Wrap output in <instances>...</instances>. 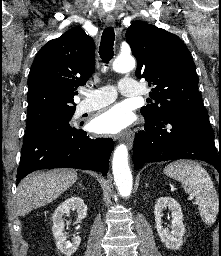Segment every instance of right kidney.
<instances>
[{"label": "right kidney", "instance_id": "1", "mask_svg": "<svg viewBox=\"0 0 221 256\" xmlns=\"http://www.w3.org/2000/svg\"><path fill=\"white\" fill-rule=\"evenodd\" d=\"M71 210L77 212L79 221L84 219L87 215V206L84 204L83 199L75 196L62 202L52 215V232L56 241V247L65 256L73 255L77 251L81 242V238L79 236L74 237L72 242L67 241V237L63 233L65 227L63 216L65 214H69Z\"/></svg>", "mask_w": 221, "mask_h": 256}]
</instances>
